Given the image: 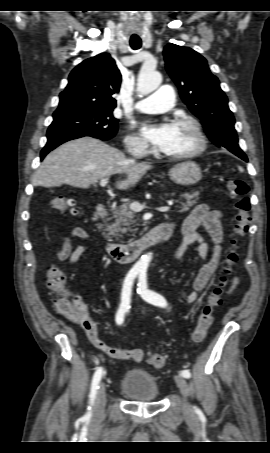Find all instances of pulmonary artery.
Masks as SVG:
<instances>
[{"mask_svg": "<svg viewBox=\"0 0 270 453\" xmlns=\"http://www.w3.org/2000/svg\"><path fill=\"white\" fill-rule=\"evenodd\" d=\"M175 102V93L171 86H162L156 92L139 100L135 108L143 113L160 114L170 110Z\"/></svg>", "mask_w": 270, "mask_h": 453, "instance_id": "e3ab8cb5", "label": "pulmonary artery"}]
</instances>
